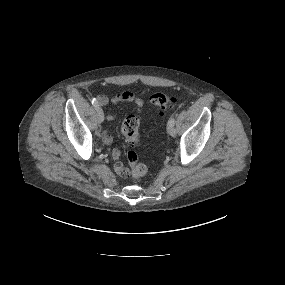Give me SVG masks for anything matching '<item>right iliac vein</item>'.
Returning <instances> with one entry per match:
<instances>
[{"instance_id": "1", "label": "right iliac vein", "mask_w": 285, "mask_h": 285, "mask_svg": "<svg viewBox=\"0 0 285 285\" xmlns=\"http://www.w3.org/2000/svg\"><path fill=\"white\" fill-rule=\"evenodd\" d=\"M96 116L99 123H102L104 120V114L100 107L96 108Z\"/></svg>"}]
</instances>
